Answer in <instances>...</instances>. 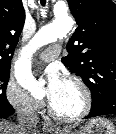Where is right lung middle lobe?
Listing matches in <instances>:
<instances>
[{"instance_id": "obj_1", "label": "right lung middle lobe", "mask_w": 116, "mask_h": 134, "mask_svg": "<svg viewBox=\"0 0 116 134\" xmlns=\"http://www.w3.org/2000/svg\"><path fill=\"white\" fill-rule=\"evenodd\" d=\"M10 77V69L0 71V114L7 113L13 109L6 98V88Z\"/></svg>"}]
</instances>
